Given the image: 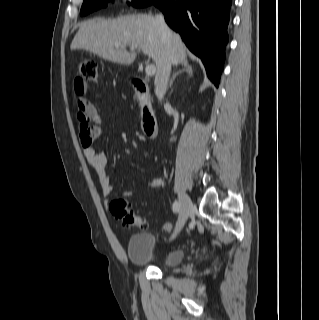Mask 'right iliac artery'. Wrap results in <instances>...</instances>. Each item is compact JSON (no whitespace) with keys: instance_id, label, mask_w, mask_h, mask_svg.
Returning <instances> with one entry per match:
<instances>
[{"instance_id":"right-iliac-artery-1","label":"right iliac artery","mask_w":319,"mask_h":320,"mask_svg":"<svg viewBox=\"0 0 319 320\" xmlns=\"http://www.w3.org/2000/svg\"><path fill=\"white\" fill-rule=\"evenodd\" d=\"M172 210L175 213H178L180 211V203L178 201H175L172 205Z\"/></svg>"}]
</instances>
